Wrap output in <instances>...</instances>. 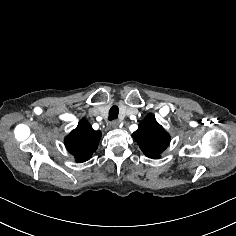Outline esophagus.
<instances>
[{"instance_id":"obj_1","label":"esophagus","mask_w":236,"mask_h":236,"mask_svg":"<svg viewBox=\"0 0 236 236\" xmlns=\"http://www.w3.org/2000/svg\"><path fill=\"white\" fill-rule=\"evenodd\" d=\"M109 126L113 129H116L119 126V121L115 119V120L110 122Z\"/></svg>"}]
</instances>
